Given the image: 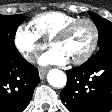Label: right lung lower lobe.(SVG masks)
<instances>
[{"label":"right lung lower lobe","mask_w":112,"mask_h":112,"mask_svg":"<svg viewBox=\"0 0 112 112\" xmlns=\"http://www.w3.org/2000/svg\"><path fill=\"white\" fill-rule=\"evenodd\" d=\"M39 82L38 70L21 55L0 57V112H23Z\"/></svg>","instance_id":"obj_1"}]
</instances>
